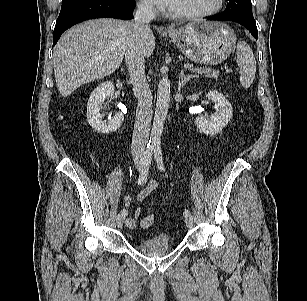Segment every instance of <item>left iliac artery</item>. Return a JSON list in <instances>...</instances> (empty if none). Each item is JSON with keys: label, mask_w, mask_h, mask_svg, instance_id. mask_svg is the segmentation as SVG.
<instances>
[{"label": "left iliac artery", "mask_w": 307, "mask_h": 301, "mask_svg": "<svg viewBox=\"0 0 307 301\" xmlns=\"http://www.w3.org/2000/svg\"><path fill=\"white\" fill-rule=\"evenodd\" d=\"M154 158H155V161L157 163V166L158 168L161 170V171H165V167H164V162H163V157H162V150H161V147L160 146H156L154 148ZM184 216L187 217L189 216L191 213L189 210H185L184 211Z\"/></svg>", "instance_id": "44dca946"}]
</instances>
